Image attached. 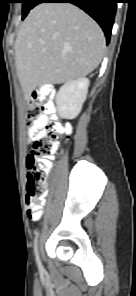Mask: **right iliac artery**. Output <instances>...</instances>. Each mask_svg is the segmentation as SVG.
<instances>
[{
    "mask_svg": "<svg viewBox=\"0 0 136 296\" xmlns=\"http://www.w3.org/2000/svg\"><path fill=\"white\" fill-rule=\"evenodd\" d=\"M37 238H38V233H37L35 241H34V243H35V245H34L35 257H36V261H37L39 270L43 271V266L41 264V261L39 258V253H38V248H37Z\"/></svg>",
    "mask_w": 136,
    "mask_h": 296,
    "instance_id": "obj_1",
    "label": "right iliac artery"
}]
</instances>
